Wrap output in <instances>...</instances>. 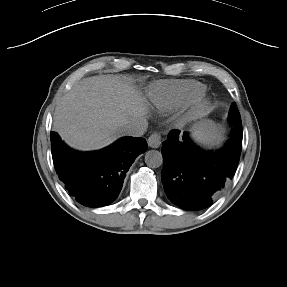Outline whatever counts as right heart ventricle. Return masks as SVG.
<instances>
[{"label": "right heart ventricle", "mask_w": 287, "mask_h": 287, "mask_svg": "<svg viewBox=\"0 0 287 287\" xmlns=\"http://www.w3.org/2000/svg\"><path fill=\"white\" fill-rule=\"evenodd\" d=\"M204 92L205 86L194 80L161 81L149 87L153 105L163 112L180 109Z\"/></svg>", "instance_id": "right-heart-ventricle-1"}]
</instances>
